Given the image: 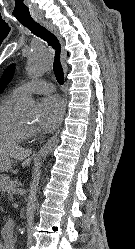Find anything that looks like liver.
Masks as SVG:
<instances>
[{"label":"liver","mask_w":135,"mask_h":249,"mask_svg":"<svg viewBox=\"0 0 135 249\" xmlns=\"http://www.w3.org/2000/svg\"><path fill=\"white\" fill-rule=\"evenodd\" d=\"M0 155L11 157L19 161L24 160L23 166H29L32 160V157H30L31 150L4 143H0Z\"/></svg>","instance_id":"6515ba94"}]
</instances>
